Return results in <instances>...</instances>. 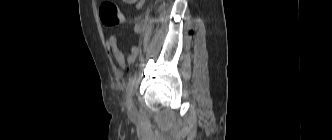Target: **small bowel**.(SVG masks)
Here are the masks:
<instances>
[{
	"mask_svg": "<svg viewBox=\"0 0 332 140\" xmlns=\"http://www.w3.org/2000/svg\"><path fill=\"white\" fill-rule=\"evenodd\" d=\"M121 1L125 4H132L137 9H140L144 6L146 0H121ZM106 44L108 50L111 51L113 58L115 59L120 68H125L127 64L134 63L139 53L138 47L134 46L131 48V51L127 55V57H125L122 51L118 47V41L115 35L109 36Z\"/></svg>",
	"mask_w": 332,
	"mask_h": 140,
	"instance_id": "1",
	"label": "small bowel"
}]
</instances>
